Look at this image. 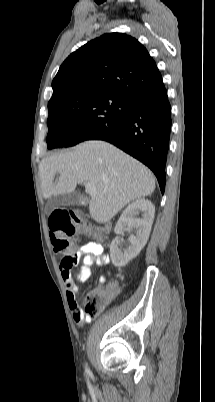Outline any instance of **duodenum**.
<instances>
[{
  "instance_id": "obj_1",
  "label": "duodenum",
  "mask_w": 215,
  "mask_h": 402,
  "mask_svg": "<svg viewBox=\"0 0 215 402\" xmlns=\"http://www.w3.org/2000/svg\"><path fill=\"white\" fill-rule=\"evenodd\" d=\"M103 229H104V231H107V230H108V226L106 225Z\"/></svg>"
}]
</instances>
